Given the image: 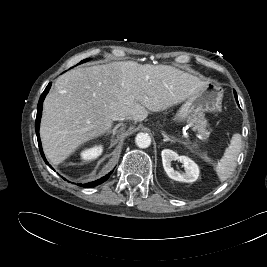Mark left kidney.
Returning <instances> with one entry per match:
<instances>
[{
	"label": "left kidney",
	"mask_w": 267,
	"mask_h": 267,
	"mask_svg": "<svg viewBox=\"0 0 267 267\" xmlns=\"http://www.w3.org/2000/svg\"><path fill=\"white\" fill-rule=\"evenodd\" d=\"M161 156H162V163H163L164 170L171 179L175 181L186 182V183H191L198 179L199 167L189 157L179 156L176 152L170 149H164L161 152ZM175 160H178L183 164L184 169H185L183 173L175 171L172 168L171 162Z\"/></svg>",
	"instance_id": "1"
}]
</instances>
